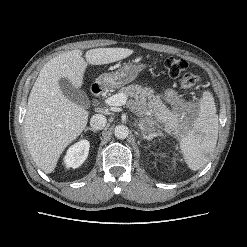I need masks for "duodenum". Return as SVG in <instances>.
<instances>
[{"label": "duodenum", "mask_w": 247, "mask_h": 247, "mask_svg": "<svg viewBox=\"0 0 247 247\" xmlns=\"http://www.w3.org/2000/svg\"><path fill=\"white\" fill-rule=\"evenodd\" d=\"M102 86L98 85V84H94L92 87H91V92L94 96H99L101 93H102Z\"/></svg>", "instance_id": "duodenum-1"}]
</instances>
